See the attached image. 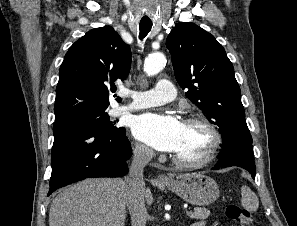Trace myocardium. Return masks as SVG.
Wrapping results in <instances>:
<instances>
[{
  "label": "myocardium",
  "mask_w": 297,
  "mask_h": 226,
  "mask_svg": "<svg viewBox=\"0 0 297 226\" xmlns=\"http://www.w3.org/2000/svg\"><path fill=\"white\" fill-rule=\"evenodd\" d=\"M184 124H200L202 125L211 135V142L204 153V155L196 160H184L176 156H172L173 162L183 168H200L208 165L216 157L221 145L222 136L215 124L207 117L202 115H193L184 120Z\"/></svg>",
  "instance_id": "obj_1"
}]
</instances>
